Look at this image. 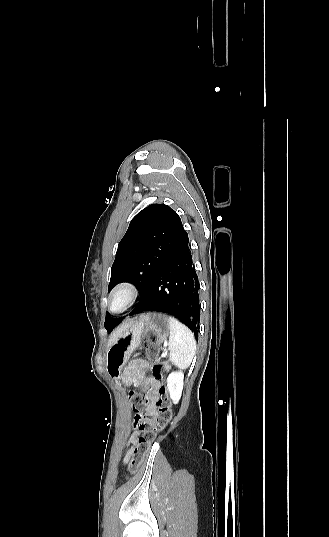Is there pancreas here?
Masks as SVG:
<instances>
[{"instance_id":"1","label":"pancreas","mask_w":329,"mask_h":537,"mask_svg":"<svg viewBox=\"0 0 329 537\" xmlns=\"http://www.w3.org/2000/svg\"><path fill=\"white\" fill-rule=\"evenodd\" d=\"M164 365H165L166 369H170V366H169V364L167 362H164Z\"/></svg>"}]
</instances>
